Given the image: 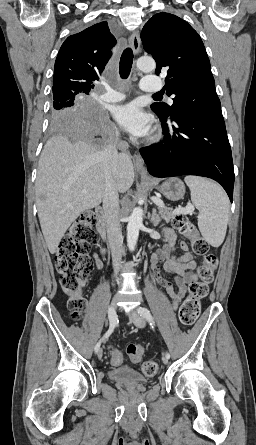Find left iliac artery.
I'll return each mask as SVG.
<instances>
[{
    "instance_id": "obj_1",
    "label": "left iliac artery",
    "mask_w": 256,
    "mask_h": 445,
    "mask_svg": "<svg viewBox=\"0 0 256 445\" xmlns=\"http://www.w3.org/2000/svg\"><path fill=\"white\" fill-rule=\"evenodd\" d=\"M140 314L150 323V325H154V319L150 313V311L147 308H139ZM165 356L169 359L170 354L168 352L165 353Z\"/></svg>"
}]
</instances>
